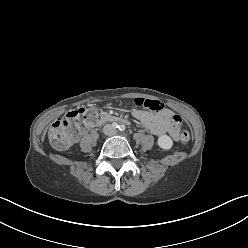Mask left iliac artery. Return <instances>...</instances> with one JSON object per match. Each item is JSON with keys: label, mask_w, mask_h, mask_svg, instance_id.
<instances>
[{"label": "left iliac artery", "mask_w": 248, "mask_h": 248, "mask_svg": "<svg viewBox=\"0 0 248 248\" xmlns=\"http://www.w3.org/2000/svg\"><path fill=\"white\" fill-rule=\"evenodd\" d=\"M119 130L120 131H124L125 130V126L124 125L119 126Z\"/></svg>", "instance_id": "obj_1"}]
</instances>
